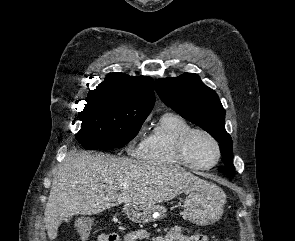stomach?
Listing matches in <instances>:
<instances>
[{"label": "stomach", "mask_w": 295, "mask_h": 241, "mask_svg": "<svg viewBox=\"0 0 295 241\" xmlns=\"http://www.w3.org/2000/svg\"><path fill=\"white\" fill-rule=\"evenodd\" d=\"M226 203L224 191L213 183L190 192L183 204V217L198 226L217 222ZM123 211L136 223H148L162 218L166 209L160 205L125 204Z\"/></svg>", "instance_id": "1"}]
</instances>
